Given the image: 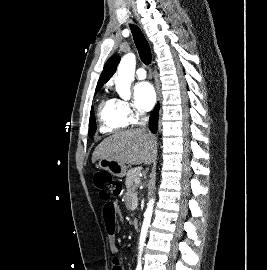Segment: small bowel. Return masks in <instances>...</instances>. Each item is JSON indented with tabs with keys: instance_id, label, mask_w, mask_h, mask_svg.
<instances>
[{
	"instance_id": "small-bowel-1",
	"label": "small bowel",
	"mask_w": 267,
	"mask_h": 270,
	"mask_svg": "<svg viewBox=\"0 0 267 270\" xmlns=\"http://www.w3.org/2000/svg\"><path fill=\"white\" fill-rule=\"evenodd\" d=\"M120 215V208L117 203L111 202L104 205L103 208V217L107 231L109 233V248L113 255L117 253L116 240L114 237L116 217ZM112 270H123L119 264V261L116 256L113 258V268Z\"/></svg>"
}]
</instances>
